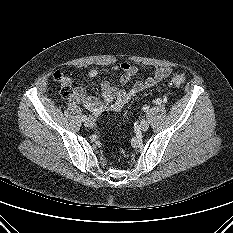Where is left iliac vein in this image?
<instances>
[{"label":"left iliac vein","instance_id":"1","mask_svg":"<svg viewBox=\"0 0 233 233\" xmlns=\"http://www.w3.org/2000/svg\"><path fill=\"white\" fill-rule=\"evenodd\" d=\"M148 128H149V123H148V121H147V120H142V121L140 122V129H141L142 131H147Z\"/></svg>","mask_w":233,"mask_h":233}]
</instances>
